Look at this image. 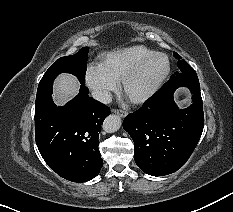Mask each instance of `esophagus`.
I'll return each mask as SVG.
<instances>
[{"label": "esophagus", "mask_w": 233, "mask_h": 212, "mask_svg": "<svg viewBox=\"0 0 233 212\" xmlns=\"http://www.w3.org/2000/svg\"><path fill=\"white\" fill-rule=\"evenodd\" d=\"M114 113H116L117 115H119L120 117H126L128 115V112L122 109H115Z\"/></svg>", "instance_id": "1"}]
</instances>
